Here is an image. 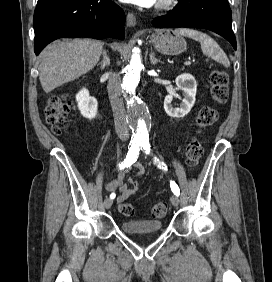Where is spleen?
Returning a JSON list of instances; mask_svg holds the SVG:
<instances>
[{"label":"spleen","instance_id":"obj_1","mask_svg":"<svg viewBox=\"0 0 272 282\" xmlns=\"http://www.w3.org/2000/svg\"><path fill=\"white\" fill-rule=\"evenodd\" d=\"M174 32L177 35L186 36L200 42L201 50L204 55L211 57L225 67H230V61L224 51L219 47L217 42L207 34L189 28H178Z\"/></svg>","mask_w":272,"mask_h":282}]
</instances>
